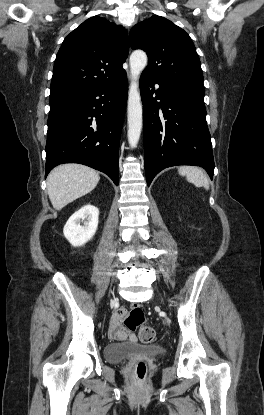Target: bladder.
<instances>
[{"label": "bladder", "mask_w": 264, "mask_h": 415, "mask_svg": "<svg viewBox=\"0 0 264 415\" xmlns=\"http://www.w3.org/2000/svg\"><path fill=\"white\" fill-rule=\"evenodd\" d=\"M134 355L164 357L166 350L158 345H142L135 342L108 344L104 347L105 358L115 364L126 361Z\"/></svg>", "instance_id": "1"}]
</instances>
